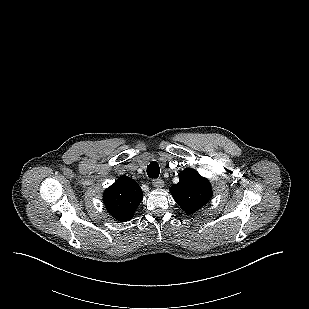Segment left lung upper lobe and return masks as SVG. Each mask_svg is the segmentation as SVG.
<instances>
[{
  "label": "left lung upper lobe",
  "instance_id": "obj_1",
  "mask_svg": "<svg viewBox=\"0 0 309 309\" xmlns=\"http://www.w3.org/2000/svg\"><path fill=\"white\" fill-rule=\"evenodd\" d=\"M170 191L175 201L187 214H193L201 209L212 197L209 180L191 168H186L179 173V182L173 184Z\"/></svg>",
  "mask_w": 309,
  "mask_h": 309
}]
</instances>
